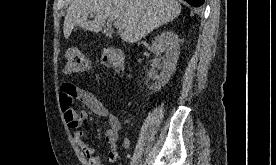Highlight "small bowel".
Returning a JSON list of instances; mask_svg holds the SVG:
<instances>
[{
	"instance_id": "small-bowel-1",
	"label": "small bowel",
	"mask_w": 276,
	"mask_h": 165,
	"mask_svg": "<svg viewBox=\"0 0 276 165\" xmlns=\"http://www.w3.org/2000/svg\"><path fill=\"white\" fill-rule=\"evenodd\" d=\"M82 102L85 107L93 114L106 119L108 128L105 131L104 137L109 151L107 160L109 163H114L118 158L117 141L121 129L120 120L112 114L106 106L90 91L80 88L70 82H65L61 85L59 93V103L68 128L73 133V138L77 145L83 150L89 165H104L95 150L84 141V132L82 126L88 118L86 110L77 111L73 103L74 101ZM92 128H95L93 125ZM124 148L129 146L127 139L123 140Z\"/></svg>"
}]
</instances>
